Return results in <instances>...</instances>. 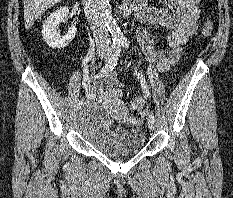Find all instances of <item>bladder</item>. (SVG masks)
Listing matches in <instances>:
<instances>
[{"mask_svg": "<svg viewBox=\"0 0 233 198\" xmlns=\"http://www.w3.org/2000/svg\"><path fill=\"white\" fill-rule=\"evenodd\" d=\"M78 129L93 148L112 158L135 154L145 144L142 128L111 127L106 110L99 104H86L81 109Z\"/></svg>", "mask_w": 233, "mask_h": 198, "instance_id": "1", "label": "bladder"}]
</instances>
